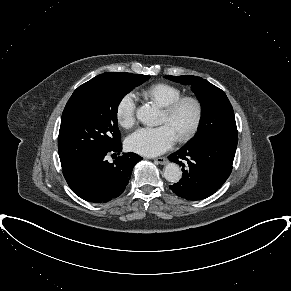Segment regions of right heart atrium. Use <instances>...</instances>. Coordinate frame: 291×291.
<instances>
[{"label": "right heart atrium", "mask_w": 291, "mask_h": 291, "mask_svg": "<svg viewBox=\"0 0 291 291\" xmlns=\"http://www.w3.org/2000/svg\"><path fill=\"white\" fill-rule=\"evenodd\" d=\"M136 98L133 93H126L121 97L116 106V120L118 124L130 129L136 122Z\"/></svg>", "instance_id": "right-heart-atrium-1"}]
</instances>
